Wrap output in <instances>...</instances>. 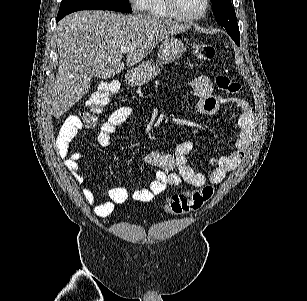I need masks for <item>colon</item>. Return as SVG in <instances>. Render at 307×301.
<instances>
[{
    "label": "colon",
    "mask_w": 307,
    "mask_h": 301,
    "mask_svg": "<svg viewBox=\"0 0 307 301\" xmlns=\"http://www.w3.org/2000/svg\"><path fill=\"white\" fill-rule=\"evenodd\" d=\"M192 53L198 61L211 60L215 55L212 45L195 41L192 44ZM217 87L226 93L234 94L240 90V84L231 80L227 76L216 77ZM120 90L117 81L103 83L99 89L91 95L87 102L86 110L79 116L82 127L93 130L97 127L98 118ZM214 189L207 185L201 189L181 192L172 196L165 204V210L173 215H183L201 209L213 196Z\"/></svg>",
    "instance_id": "1"
}]
</instances>
